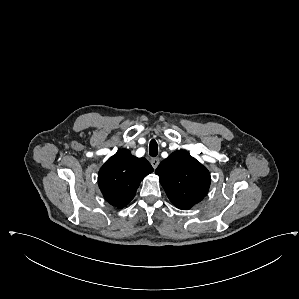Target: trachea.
<instances>
[{"mask_svg":"<svg viewBox=\"0 0 299 299\" xmlns=\"http://www.w3.org/2000/svg\"><path fill=\"white\" fill-rule=\"evenodd\" d=\"M157 154H158V144L154 139H152L149 145V155L152 157H156Z\"/></svg>","mask_w":299,"mask_h":299,"instance_id":"trachea-1","label":"trachea"}]
</instances>
